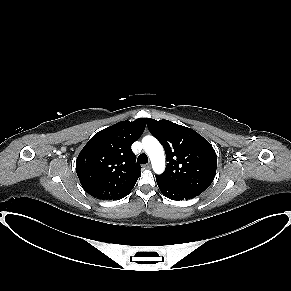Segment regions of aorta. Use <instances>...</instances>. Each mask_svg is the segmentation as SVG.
I'll list each match as a JSON object with an SVG mask.
<instances>
[{
  "mask_svg": "<svg viewBox=\"0 0 291 291\" xmlns=\"http://www.w3.org/2000/svg\"><path fill=\"white\" fill-rule=\"evenodd\" d=\"M142 143L145 152L151 160L154 172L161 174L165 169V156L162 145L153 136H145L142 139Z\"/></svg>",
  "mask_w": 291,
  "mask_h": 291,
  "instance_id": "762f6f07",
  "label": "aorta"
}]
</instances>
